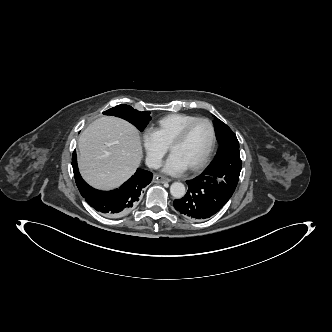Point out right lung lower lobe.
Instances as JSON below:
<instances>
[{
	"label": "right lung lower lobe",
	"mask_w": 332,
	"mask_h": 332,
	"mask_svg": "<svg viewBox=\"0 0 332 332\" xmlns=\"http://www.w3.org/2000/svg\"><path fill=\"white\" fill-rule=\"evenodd\" d=\"M72 167L76 185L85 201L105 217L116 218L128 214L139 203L143 188L152 180V173L137 169L136 173L120 188L100 191L89 186L81 177L76 153L72 155Z\"/></svg>",
	"instance_id": "right-lung-lower-lobe-1"
}]
</instances>
